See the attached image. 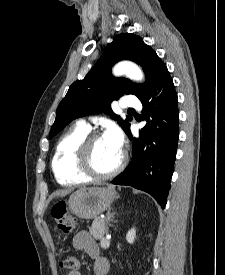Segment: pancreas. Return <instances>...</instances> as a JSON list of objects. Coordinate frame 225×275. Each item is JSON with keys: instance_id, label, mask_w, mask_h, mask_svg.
<instances>
[{"instance_id": "pancreas-1", "label": "pancreas", "mask_w": 225, "mask_h": 275, "mask_svg": "<svg viewBox=\"0 0 225 275\" xmlns=\"http://www.w3.org/2000/svg\"><path fill=\"white\" fill-rule=\"evenodd\" d=\"M89 231L95 239L101 240L107 232L105 228V221L101 218H95Z\"/></svg>"}]
</instances>
